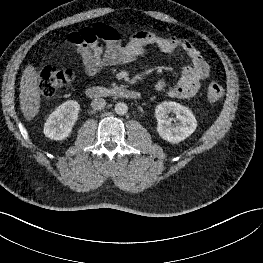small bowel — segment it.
I'll return each instance as SVG.
<instances>
[{
  "mask_svg": "<svg viewBox=\"0 0 263 263\" xmlns=\"http://www.w3.org/2000/svg\"><path fill=\"white\" fill-rule=\"evenodd\" d=\"M67 40L76 48L82 69L88 76H94L108 66L133 62L150 46H156L166 53L182 50L189 58L190 65L182 70L176 84L168 87L166 78L155 83L156 91L164 92L171 98L193 97L199 91L201 81L210 72V66L200 51L183 37H161L150 31H140L124 42L116 28L99 22L70 33Z\"/></svg>",
  "mask_w": 263,
  "mask_h": 263,
  "instance_id": "obj_1",
  "label": "small bowel"
}]
</instances>
